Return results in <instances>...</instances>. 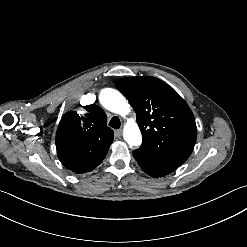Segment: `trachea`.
Wrapping results in <instances>:
<instances>
[{
	"instance_id": "3493384b",
	"label": "trachea",
	"mask_w": 247,
	"mask_h": 247,
	"mask_svg": "<svg viewBox=\"0 0 247 247\" xmlns=\"http://www.w3.org/2000/svg\"><path fill=\"white\" fill-rule=\"evenodd\" d=\"M109 125H110L112 128L119 129L120 126H121L120 119H119L117 116L113 117V118L110 120Z\"/></svg>"
}]
</instances>
